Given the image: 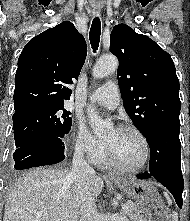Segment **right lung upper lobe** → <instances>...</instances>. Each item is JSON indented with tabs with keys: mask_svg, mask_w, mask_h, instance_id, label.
<instances>
[{
	"mask_svg": "<svg viewBox=\"0 0 190 221\" xmlns=\"http://www.w3.org/2000/svg\"><path fill=\"white\" fill-rule=\"evenodd\" d=\"M87 55L84 37L69 21L35 36L23 49L15 75L14 109L62 104Z\"/></svg>",
	"mask_w": 190,
	"mask_h": 221,
	"instance_id": "right-lung-upper-lobe-1",
	"label": "right lung upper lobe"
}]
</instances>
